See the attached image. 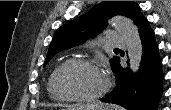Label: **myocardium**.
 Wrapping results in <instances>:
<instances>
[{
    "mask_svg": "<svg viewBox=\"0 0 171 110\" xmlns=\"http://www.w3.org/2000/svg\"><path fill=\"white\" fill-rule=\"evenodd\" d=\"M69 65H83V66L90 67V68L102 73L104 76V79H105L103 88L98 93L91 95V96H73V95H68V94H64L63 92H61L57 86V77H58L59 73L65 67H67ZM50 83H51L52 92L54 93V95L57 98L64 100V101H72V102H89V103L96 102V101L100 100L108 92V90L110 88V82H109L108 78L104 75L102 70L92 61L83 59V58L69 59V60H66L65 62H63L62 64H60L52 73Z\"/></svg>",
    "mask_w": 171,
    "mask_h": 110,
    "instance_id": "myocardium-1",
    "label": "myocardium"
}]
</instances>
